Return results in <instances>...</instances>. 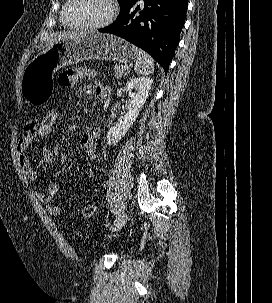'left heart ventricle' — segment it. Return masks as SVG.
Wrapping results in <instances>:
<instances>
[{
  "label": "left heart ventricle",
  "mask_w": 272,
  "mask_h": 303,
  "mask_svg": "<svg viewBox=\"0 0 272 303\" xmlns=\"http://www.w3.org/2000/svg\"><path fill=\"white\" fill-rule=\"evenodd\" d=\"M109 13L107 0H73L67 10L68 19L77 24L103 21Z\"/></svg>",
  "instance_id": "b2bd125f"
}]
</instances>
